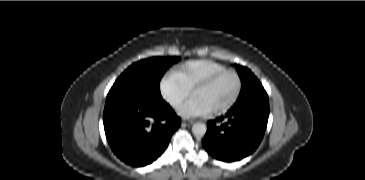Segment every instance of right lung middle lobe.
Instances as JSON below:
<instances>
[{"instance_id":"right-lung-middle-lobe-1","label":"right lung middle lobe","mask_w":365,"mask_h":180,"mask_svg":"<svg viewBox=\"0 0 365 180\" xmlns=\"http://www.w3.org/2000/svg\"><path fill=\"white\" fill-rule=\"evenodd\" d=\"M178 57H155L131 65L111 87L106 102L130 95L160 97V80Z\"/></svg>"}]
</instances>
